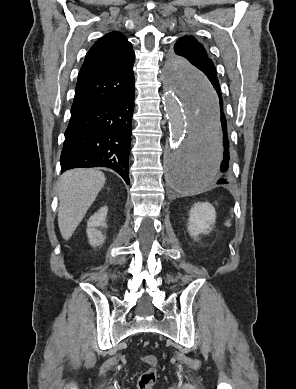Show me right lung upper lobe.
I'll return each mask as SVG.
<instances>
[{"label": "right lung upper lobe", "mask_w": 296, "mask_h": 389, "mask_svg": "<svg viewBox=\"0 0 296 389\" xmlns=\"http://www.w3.org/2000/svg\"><path fill=\"white\" fill-rule=\"evenodd\" d=\"M135 54L119 32L100 38L86 54L75 90L71 113L119 97L134 81Z\"/></svg>", "instance_id": "right-lung-upper-lobe-1"}]
</instances>
